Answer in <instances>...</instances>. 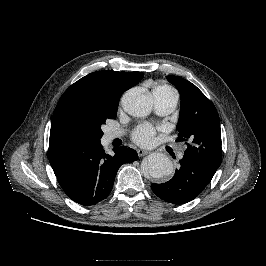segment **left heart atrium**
<instances>
[{
	"instance_id": "1",
	"label": "left heart atrium",
	"mask_w": 266,
	"mask_h": 266,
	"mask_svg": "<svg viewBox=\"0 0 266 266\" xmlns=\"http://www.w3.org/2000/svg\"><path fill=\"white\" fill-rule=\"evenodd\" d=\"M155 129L149 124L138 126L132 135L133 140L140 145H149L153 141Z\"/></svg>"
}]
</instances>
